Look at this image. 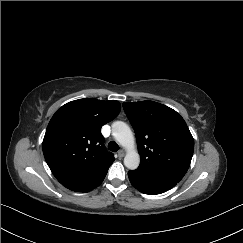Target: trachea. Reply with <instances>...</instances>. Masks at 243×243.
Segmentation results:
<instances>
[{"mask_svg":"<svg viewBox=\"0 0 243 243\" xmlns=\"http://www.w3.org/2000/svg\"><path fill=\"white\" fill-rule=\"evenodd\" d=\"M108 149L113 152H117L119 150V146L115 141H110L108 143Z\"/></svg>","mask_w":243,"mask_h":243,"instance_id":"trachea-1","label":"trachea"}]
</instances>
